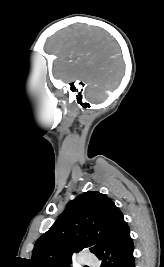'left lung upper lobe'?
Instances as JSON below:
<instances>
[{
  "label": "left lung upper lobe",
  "instance_id": "left-lung-upper-lobe-1",
  "mask_svg": "<svg viewBox=\"0 0 164 267\" xmlns=\"http://www.w3.org/2000/svg\"><path fill=\"white\" fill-rule=\"evenodd\" d=\"M124 223L122 212L105 194H80L37 240L29 264L66 267L74 252L89 249L96 255Z\"/></svg>",
  "mask_w": 164,
  "mask_h": 267
}]
</instances>
